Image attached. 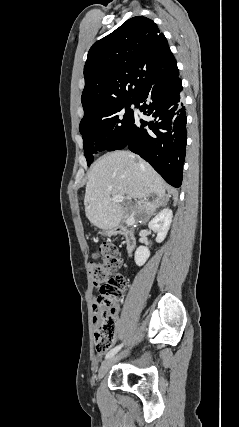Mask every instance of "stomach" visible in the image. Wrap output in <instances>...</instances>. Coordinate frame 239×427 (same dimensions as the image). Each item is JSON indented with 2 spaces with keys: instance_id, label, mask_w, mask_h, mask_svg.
<instances>
[{
  "instance_id": "1",
  "label": "stomach",
  "mask_w": 239,
  "mask_h": 427,
  "mask_svg": "<svg viewBox=\"0 0 239 427\" xmlns=\"http://www.w3.org/2000/svg\"><path fill=\"white\" fill-rule=\"evenodd\" d=\"M104 234H105V235H110V234H111V231H110V230H106V231L104 232Z\"/></svg>"
}]
</instances>
